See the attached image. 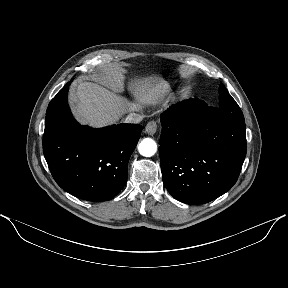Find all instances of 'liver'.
Returning a JSON list of instances; mask_svg holds the SVG:
<instances>
[{"instance_id": "liver-1", "label": "liver", "mask_w": 288, "mask_h": 288, "mask_svg": "<svg viewBox=\"0 0 288 288\" xmlns=\"http://www.w3.org/2000/svg\"><path fill=\"white\" fill-rule=\"evenodd\" d=\"M129 89L136 96L135 102L127 101L98 84L81 82L74 91L73 113L79 121L93 127L110 125L127 112L141 110L142 105L158 103L167 84L162 78L150 77L131 81Z\"/></svg>"}]
</instances>
